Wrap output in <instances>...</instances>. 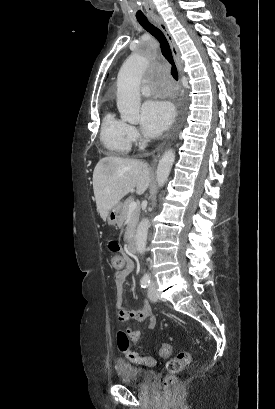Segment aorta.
I'll list each match as a JSON object with an SVG mask.
<instances>
[{
	"instance_id": "1",
	"label": "aorta",
	"mask_w": 275,
	"mask_h": 409,
	"mask_svg": "<svg viewBox=\"0 0 275 409\" xmlns=\"http://www.w3.org/2000/svg\"><path fill=\"white\" fill-rule=\"evenodd\" d=\"M145 58V51H132L131 56H128L125 62H123L117 76V108L122 120H128L132 124H136L140 120L141 98L139 86L144 70ZM174 160V150L172 148L165 150L156 170L158 186L165 184ZM148 229V219H142L135 235V247L140 255H143L146 251ZM143 279L148 281L149 275H144Z\"/></svg>"
}]
</instances>
